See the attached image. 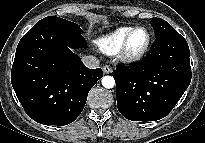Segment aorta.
Wrapping results in <instances>:
<instances>
[{"instance_id":"aorta-1","label":"aorta","mask_w":205,"mask_h":143,"mask_svg":"<svg viewBox=\"0 0 205 143\" xmlns=\"http://www.w3.org/2000/svg\"><path fill=\"white\" fill-rule=\"evenodd\" d=\"M102 85L107 89L113 88L115 85V80L112 76H104L102 78Z\"/></svg>"}]
</instances>
